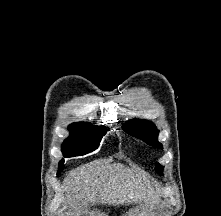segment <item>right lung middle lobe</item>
<instances>
[{"instance_id":"1","label":"right lung middle lobe","mask_w":221,"mask_h":216,"mask_svg":"<svg viewBox=\"0 0 221 216\" xmlns=\"http://www.w3.org/2000/svg\"><path fill=\"white\" fill-rule=\"evenodd\" d=\"M70 136L62 144L64 157L82 156L96 150L102 137L106 134V127H97L89 123H74L68 127ZM64 160L59 163L58 174L63 170Z\"/></svg>"}]
</instances>
